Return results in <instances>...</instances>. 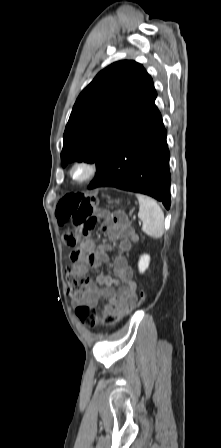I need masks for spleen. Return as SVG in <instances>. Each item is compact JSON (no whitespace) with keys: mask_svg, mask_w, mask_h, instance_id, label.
Returning <instances> with one entry per match:
<instances>
[{"mask_svg":"<svg viewBox=\"0 0 221 448\" xmlns=\"http://www.w3.org/2000/svg\"><path fill=\"white\" fill-rule=\"evenodd\" d=\"M139 201L138 217L143 222L142 231L155 239L164 233V213L157 202L145 195L136 194Z\"/></svg>","mask_w":221,"mask_h":448,"instance_id":"obj_1","label":"spleen"}]
</instances>
